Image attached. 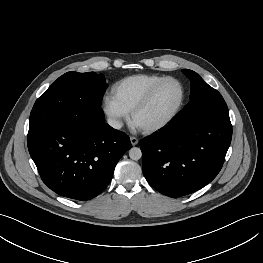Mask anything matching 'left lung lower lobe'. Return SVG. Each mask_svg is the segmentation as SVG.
I'll return each mask as SVG.
<instances>
[{
	"mask_svg": "<svg viewBox=\"0 0 263 263\" xmlns=\"http://www.w3.org/2000/svg\"><path fill=\"white\" fill-rule=\"evenodd\" d=\"M231 138L232 125L227 116L210 118L185 130L172 120L141 141L144 176L164 195L193 193L217 176Z\"/></svg>",
	"mask_w": 263,
	"mask_h": 263,
	"instance_id": "0a47b994",
	"label": "left lung lower lobe"
}]
</instances>
